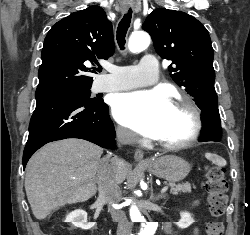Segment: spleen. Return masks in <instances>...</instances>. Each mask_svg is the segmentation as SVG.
Returning <instances> with one entry per match:
<instances>
[{
    "label": "spleen",
    "mask_w": 250,
    "mask_h": 235,
    "mask_svg": "<svg viewBox=\"0 0 250 235\" xmlns=\"http://www.w3.org/2000/svg\"><path fill=\"white\" fill-rule=\"evenodd\" d=\"M206 158L217 164L218 166H225L226 161L215 154H206Z\"/></svg>",
    "instance_id": "3e777b00"
}]
</instances>
